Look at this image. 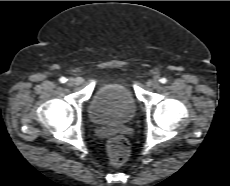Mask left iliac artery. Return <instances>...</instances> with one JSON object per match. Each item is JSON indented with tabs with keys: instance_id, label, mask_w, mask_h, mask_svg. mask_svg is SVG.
Masks as SVG:
<instances>
[{
	"instance_id": "obj_1",
	"label": "left iliac artery",
	"mask_w": 230,
	"mask_h": 186,
	"mask_svg": "<svg viewBox=\"0 0 230 186\" xmlns=\"http://www.w3.org/2000/svg\"><path fill=\"white\" fill-rule=\"evenodd\" d=\"M160 82H161L162 84H165V83H167V79H166V78H161V79H160Z\"/></svg>"
}]
</instances>
